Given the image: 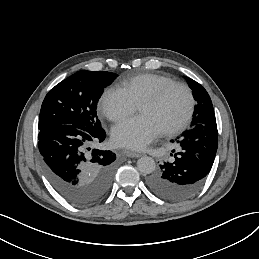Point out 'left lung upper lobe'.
I'll return each mask as SVG.
<instances>
[{"label":"left lung upper lobe","mask_w":259,"mask_h":259,"mask_svg":"<svg viewBox=\"0 0 259 259\" xmlns=\"http://www.w3.org/2000/svg\"><path fill=\"white\" fill-rule=\"evenodd\" d=\"M185 78L187 79L188 85L193 91L194 99L197 102L194 108L192 127L197 124H215L216 119L209 94L199 83L187 77Z\"/></svg>","instance_id":"5c2ea615"}]
</instances>
